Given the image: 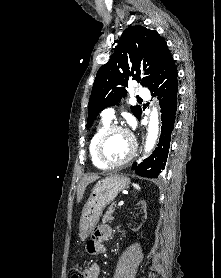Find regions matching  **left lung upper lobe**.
I'll use <instances>...</instances> for the list:
<instances>
[{"instance_id": "5c2ea615", "label": "left lung upper lobe", "mask_w": 221, "mask_h": 278, "mask_svg": "<svg viewBox=\"0 0 221 278\" xmlns=\"http://www.w3.org/2000/svg\"><path fill=\"white\" fill-rule=\"evenodd\" d=\"M172 59L166 41L157 31L141 25L127 28L109 61L97 72L89 99L87 128L102 109L117 104L127 94L130 78L149 87ZM131 111L140 120V106H131Z\"/></svg>"}]
</instances>
